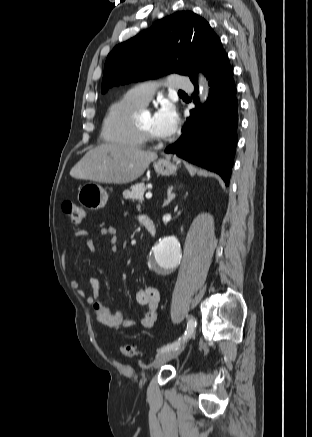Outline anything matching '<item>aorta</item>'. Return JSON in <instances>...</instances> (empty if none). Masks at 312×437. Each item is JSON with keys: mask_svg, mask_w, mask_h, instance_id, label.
<instances>
[{"mask_svg": "<svg viewBox=\"0 0 312 437\" xmlns=\"http://www.w3.org/2000/svg\"><path fill=\"white\" fill-rule=\"evenodd\" d=\"M155 266L158 271H164L175 266L181 258V249L175 236L162 239L154 249Z\"/></svg>", "mask_w": 312, "mask_h": 437, "instance_id": "762f6f07", "label": "aorta"}]
</instances>
